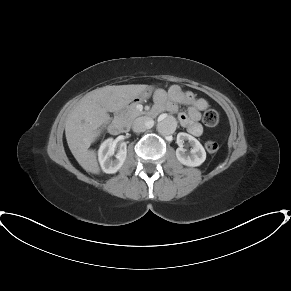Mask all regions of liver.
<instances>
[{"label": "liver", "mask_w": 291, "mask_h": 291, "mask_svg": "<svg viewBox=\"0 0 291 291\" xmlns=\"http://www.w3.org/2000/svg\"><path fill=\"white\" fill-rule=\"evenodd\" d=\"M148 88L147 85L105 86L86 94L70 111L65 125L69 149L80 166L99 174L96 152L91 143L109 122L108 112L116 111L133 101Z\"/></svg>", "instance_id": "obj_1"}]
</instances>
